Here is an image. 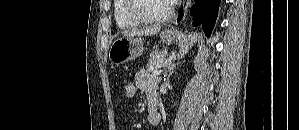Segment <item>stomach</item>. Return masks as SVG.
<instances>
[{
    "instance_id": "stomach-1",
    "label": "stomach",
    "mask_w": 299,
    "mask_h": 130,
    "mask_svg": "<svg viewBox=\"0 0 299 130\" xmlns=\"http://www.w3.org/2000/svg\"><path fill=\"white\" fill-rule=\"evenodd\" d=\"M176 30L166 29L160 34L164 43L170 44L177 40ZM143 53L142 40L135 37H121L115 40L109 49V60L112 64L120 65L139 57Z\"/></svg>"
}]
</instances>
